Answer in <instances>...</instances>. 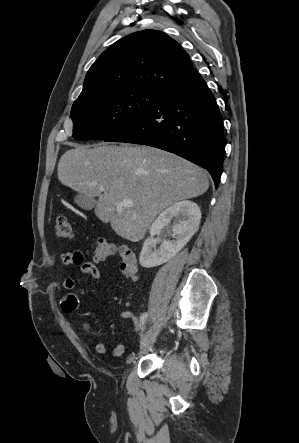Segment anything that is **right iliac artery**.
Masks as SVG:
<instances>
[{"label": "right iliac artery", "mask_w": 299, "mask_h": 443, "mask_svg": "<svg viewBox=\"0 0 299 443\" xmlns=\"http://www.w3.org/2000/svg\"><path fill=\"white\" fill-rule=\"evenodd\" d=\"M147 317H148V314H147V313H143V314L141 315V317H140V323H141L142 326L144 325L145 321L147 320ZM142 329H143V327H142Z\"/></svg>", "instance_id": "obj_1"}]
</instances>
